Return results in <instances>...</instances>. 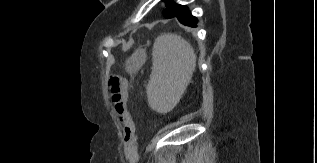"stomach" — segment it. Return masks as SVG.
<instances>
[{
	"instance_id": "stomach-1",
	"label": "stomach",
	"mask_w": 317,
	"mask_h": 163,
	"mask_svg": "<svg viewBox=\"0 0 317 163\" xmlns=\"http://www.w3.org/2000/svg\"><path fill=\"white\" fill-rule=\"evenodd\" d=\"M146 60V51L144 49L136 50L126 61V69L130 72L139 70Z\"/></svg>"
}]
</instances>
